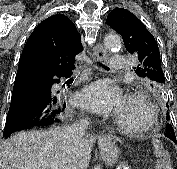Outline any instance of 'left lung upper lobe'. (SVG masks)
I'll use <instances>...</instances> for the list:
<instances>
[{"label":"left lung upper lobe","instance_id":"left-lung-upper-lobe-1","mask_svg":"<svg viewBox=\"0 0 177 169\" xmlns=\"http://www.w3.org/2000/svg\"><path fill=\"white\" fill-rule=\"evenodd\" d=\"M106 23L122 36L126 50L139 60V67L134 68L135 73L143 78L156 94L162 95L165 89V77L161 68L158 45L152 34L126 9H113ZM165 133L175 135L171 123L166 124Z\"/></svg>","mask_w":177,"mask_h":169}]
</instances>
